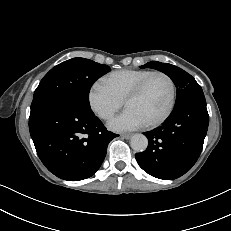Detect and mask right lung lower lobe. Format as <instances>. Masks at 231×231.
I'll return each instance as SVG.
<instances>
[{"label":"right lung lower lobe","mask_w":231,"mask_h":231,"mask_svg":"<svg viewBox=\"0 0 231 231\" xmlns=\"http://www.w3.org/2000/svg\"><path fill=\"white\" fill-rule=\"evenodd\" d=\"M29 129L42 163L68 181L91 177L101 166L109 142L118 136L107 131L90 107L68 97L30 114Z\"/></svg>","instance_id":"obj_1"}]
</instances>
